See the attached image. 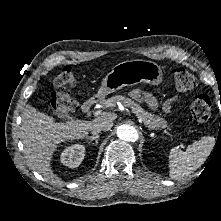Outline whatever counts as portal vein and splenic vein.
Here are the masks:
<instances>
[{"instance_id":"18ae733b","label":"portal vein and splenic vein","mask_w":221,"mask_h":221,"mask_svg":"<svg viewBox=\"0 0 221 221\" xmlns=\"http://www.w3.org/2000/svg\"><path fill=\"white\" fill-rule=\"evenodd\" d=\"M101 114V111H97L96 113H95V116H98V115H100ZM182 146V145H181Z\"/></svg>"}]
</instances>
